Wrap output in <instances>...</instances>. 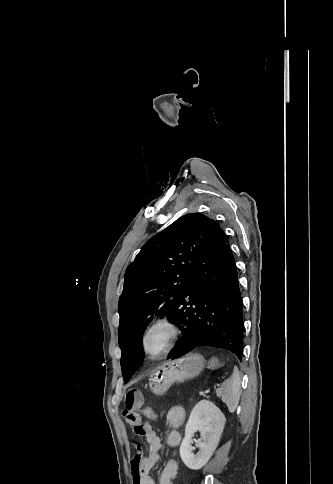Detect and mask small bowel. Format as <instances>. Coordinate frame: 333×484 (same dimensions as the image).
I'll list each match as a JSON object with an SVG mask.
<instances>
[{
	"mask_svg": "<svg viewBox=\"0 0 333 484\" xmlns=\"http://www.w3.org/2000/svg\"><path fill=\"white\" fill-rule=\"evenodd\" d=\"M144 398L137 389H129L124 395L123 415L126 421L132 426L137 435L143 436L148 444V453L143 456L138 450L131 462V470L134 484H156L151 471L160 457L162 447L161 439L152 426L142 419ZM186 413L183 407L173 406L166 415L165 424L170 428L166 438V444L170 448L180 445L182 437L179 429L185 422ZM178 464L171 459L163 470L159 484H173L176 477Z\"/></svg>",
	"mask_w": 333,
	"mask_h": 484,
	"instance_id": "small-bowel-1",
	"label": "small bowel"
}]
</instances>
